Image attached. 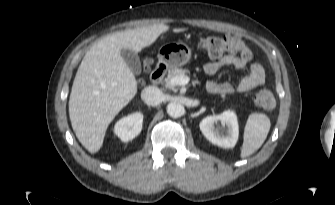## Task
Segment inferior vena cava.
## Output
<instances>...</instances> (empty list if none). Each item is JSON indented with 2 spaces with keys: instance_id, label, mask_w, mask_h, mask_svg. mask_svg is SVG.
I'll use <instances>...</instances> for the list:
<instances>
[{
  "instance_id": "inferior-vena-cava-1",
  "label": "inferior vena cava",
  "mask_w": 335,
  "mask_h": 205,
  "mask_svg": "<svg viewBox=\"0 0 335 205\" xmlns=\"http://www.w3.org/2000/svg\"><path fill=\"white\" fill-rule=\"evenodd\" d=\"M142 100L151 106H156L162 102L163 93L155 86H148L141 92Z\"/></svg>"
}]
</instances>
